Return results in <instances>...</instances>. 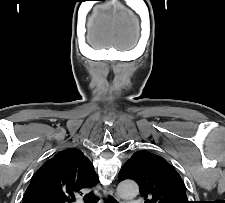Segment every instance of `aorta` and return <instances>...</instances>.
Listing matches in <instances>:
<instances>
[{
	"label": "aorta",
	"mask_w": 225,
	"mask_h": 203,
	"mask_svg": "<svg viewBox=\"0 0 225 203\" xmlns=\"http://www.w3.org/2000/svg\"><path fill=\"white\" fill-rule=\"evenodd\" d=\"M138 192V186L134 181H122L117 187V193L122 198H133Z\"/></svg>",
	"instance_id": "762f6f07"
}]
</instances>
